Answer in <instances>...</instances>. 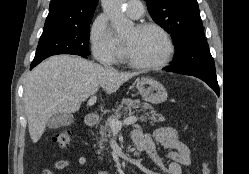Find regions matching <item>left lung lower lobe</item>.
<instances>
[{
	"mask_svg": "<svg viewBox=\"0 0 249 174\" xmlns=\"http://www.w3.org/2000/svg\"><path fill=\"white\" fill-rule=\"evenodd\" d=\"M165 71L168 72H175L190 76H195L204 82H206L219 96V85L217 82L216 72L215 70L210 69H194V70H187V71H178L172 67L164 68Z\"/></svg>",
	"mask_w": 249,
	"mask_h": 174,
	"instance_id": "left-lung-lower-lobe-1",
	"label": "left lung lower lobe"
}]
</instances>
